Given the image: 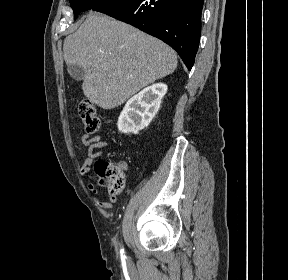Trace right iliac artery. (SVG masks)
Masks as SVG:
<instances>
[{"label":"right iliac artery","instance_id":"obj_1","mask_svg":"<svg viewBox=\"0 0 288 280\" xmlns=\"http://www.w3.org/2000/svg\"><path fill=\"white\" fill-rule=\"evenodd\" d=\"M120 253H121V255H123L124 254V249H121Z\"/></svg>","mask_w":288,"mask_h":280}]
</instances>
